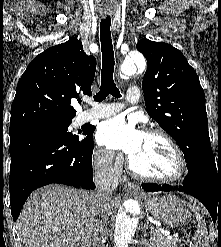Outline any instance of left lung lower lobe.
Segmentation results:
<instances>
[{
  "label": "left lung lower lobe",
  "mask_w": 221,
  "mask_h": 247,
  "mask_svg": "<svg viewBox=\"0 0 221 247\" xmlns=\"http://www.w3.org/2000/svg\"><path fill=\"white\" fill-rule=\"evenodd\" d=\"M188 174L179 191L187 192L202 202L208 209L213 222L221 221V164L215 163L212 148H206L187 162ZM147 192L171 191L170 185L143 183Z\"/></svg>",
  "instance_id": "1"
}]
</instances>
